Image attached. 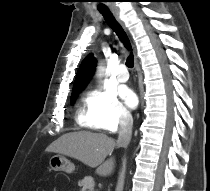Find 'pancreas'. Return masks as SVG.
<instances>
[{"label":"pancreas","mask_w":210,"mask_h":191,"mask_svg":"<svg viewBox=\"0 0 210 191\" xmlns=\"http://www.w3.org/2000/svg\"><path fill=\"white\" fill-rule=\"evenodd\" d=\"M78 186L82 188V191L93 190L95 186V182L92 177L87 176L78 182Z\"/></svg>","instance_id":"cf45deb5"}]
</instances>
